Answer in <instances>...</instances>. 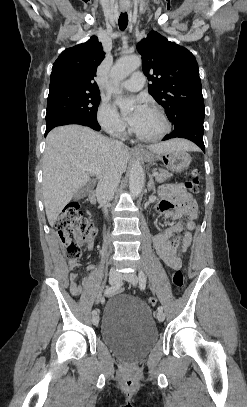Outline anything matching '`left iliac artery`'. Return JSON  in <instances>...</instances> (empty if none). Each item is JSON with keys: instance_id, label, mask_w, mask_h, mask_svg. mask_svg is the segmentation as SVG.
<instances>
[{"instance_id": "44dca946", "label": "left iliac artery", "mask_w": 247, "mask_h": 407, "mask_svg": "<svg viewBox=\"0 0 247 407\" xmlns=\"http://www.w3.org/2000/svg\"><path fill=\"white\" fill-rule=\"evenodd\" d=\"M139 287L141 290H144L146 287V276L142 270L139 271ZM158 312H163V307L159 306L157 308Z\"/></svg>"}]
</instances>
